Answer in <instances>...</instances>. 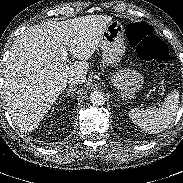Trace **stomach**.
Wrapping results in <instances>:
<instances>
[{"label": "stomach", "instance_id": "0dacf381", "mask_svg": "<svg viewBox=\"0 0 183 183\" xmlns=\"http://www.w3.org/2000/svg\"><path fill=\"white\" fill-rule=\"evenodd\" d=\"M99 47L102 49L103 61L106 65L117 66L124 52V27L118 21H111L104 29ZM113 86L124 99H132L142 88L143 76L132 69H120L111 77Z\"/></svg>", "mask_w": 183, "mask_h": 183}]
</instances>
